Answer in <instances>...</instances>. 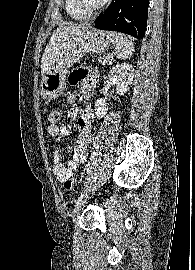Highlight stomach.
<instances>
[{"mask_svg": "<svg viewBox=\"0 0 195 270\" xmlns=\"http://www.w3.org/2000/svg\"><path fill=\"white\" fill-rule=\"evenodd\" d=\"M111 42L108 32L94 28L71 37L43 77L41 96L47 100L59 97L66 87L68 69L88 53L104 52Z\"/></svg>", "mask_w": 195, "mask_h": 270, "instance_id": "stomach-1", "label": "stomach"}]
</instances>
